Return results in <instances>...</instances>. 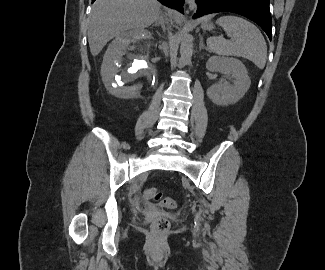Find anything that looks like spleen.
<instances>
[{
  "instance_id": "1",
  "label": "spleen",
  "mask_w": 325,
  "mask_h": 270,
  "mask_svg": "<svg viewBox=\"0 0 325 270\" xmlns=\"http://www.w3.org/2000/svg\"><path fill=\"white\" fill-rule=\"evenodd\" d=\"M231 40L222 37L207 39L209 51L222 56L244 57L263 69L267 59V45L260 30L241 17L226 15L217 19Z\"/></svg>"
}]
</instances>
